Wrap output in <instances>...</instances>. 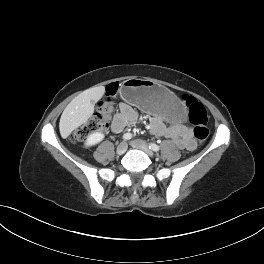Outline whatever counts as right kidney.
Wrapping results in <instances>:
<instances>
[{
	"label": "right kidney",
	"mask_w": 264,
	"mask_h": 264,
	"mask_svg": "<svg viewBox=\"0 0 264 264\" xmlns=\"http://www.w3.org/2000/svg\"><path fill=\"white\" fill-rule=\"evenodd\" d=\"M104 138V134L100 133V132H95L90 134L87 139L84 142V146L86 148L94 146L96 144H98L99 142H101Z\"/></svg>",
	"instance_id": "right-kidney-1"
}]
</instances>
